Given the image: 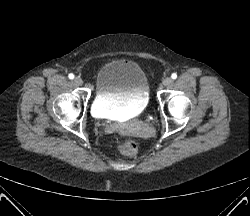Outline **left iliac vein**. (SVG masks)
I'll return each instance as SVG.
<instances>
[{"label":"left iliac vein","instance_id":"obj_1","mask_svg":"<svg viewBox=\"0 0 250 216\" xmlns=\"http://www.w3.org/2000/svg\"><path fill=\"white\" fill-rule=\"evenodd\" d=\"M172 79L170 78V77H166V78H164L163 79V85L164 86H169V85H171L172 84Z\"/></svg>","mask_w":250,"mask_h":216}]
</instances>
